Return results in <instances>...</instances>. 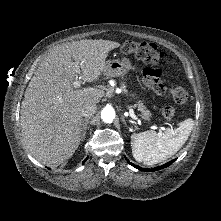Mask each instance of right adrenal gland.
Here are the masks:
<instances>
[{
    "label": "right adrenal gland",
    "instance_id": "right-adrenal-gland-1",
    "mask_svg": "<svg viewBox=\"0 0 221 221\" xmlns=\"http://www.w3.org/2000/svg\"><path fill=\"white\" fill-rule=\"evenodd\" d=\"M88 123H89V119H84L82 121V128H81V139H82V141L85 139L87 128H88L87 127Z\"/></svg>",
    "mask_w": 221,
    "mask_h": 221
}]
</instances>
